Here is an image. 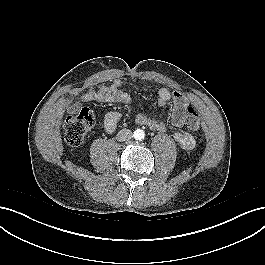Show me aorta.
Returning a JSON list of instances; mask_svg holds the SVG:
<instances>
[{
	"label": "aorta",
	"mask_w": 265,
	"mask_h": 265,
	"mask_svg": "<svg viewBox=\"0 0 265 265\" xmlns=\"http://www.w3.org/2000/svg\"><path fill=\"white\" fill-rule=\"evenodd\" d=\"M144 136H145V134H144L143 130L137 129V130L134 131V138L136 140L140 141V140L144 139Z\"/></svg>",
	"instance_id": "762f6f07"
}]
</instances>
